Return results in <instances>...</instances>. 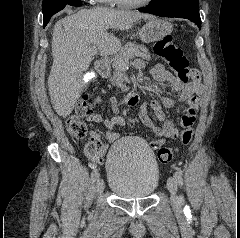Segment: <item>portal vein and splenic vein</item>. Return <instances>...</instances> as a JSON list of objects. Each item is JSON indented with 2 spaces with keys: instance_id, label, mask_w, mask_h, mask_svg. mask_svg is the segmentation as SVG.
<instances>
[{
  "instance_id": "obj_1",
  "label": "portal vein and splenic vein",
  "mask_w": 240,
  "mask_h": 238,
  "mask_svg": "<svg viewBox=\"0 0 240 238\" xmlns=\"http://www.w3.org/2000/svg\"><path fill=\"white\" fill-rule=\"evenodd\" d=\"M90 54L91 55H96L99 50L96 48V47H92L90 48ZM116 52H114L113 49H110L108 51H100V54L103 55V56H107V55H111V54H115ZM137 56V53L134 52L133 50L132 51H129L125 54V59L128 61L130 58H132L133 56Z\"/></svg>"
}]
</instances>
